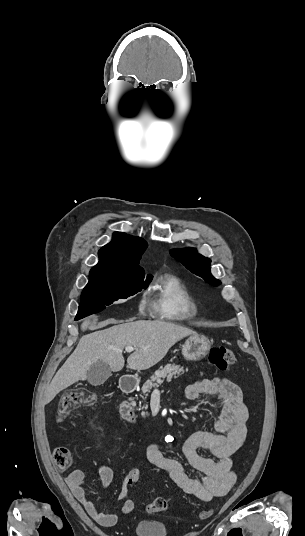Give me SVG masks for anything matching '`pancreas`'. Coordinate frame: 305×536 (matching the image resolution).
<instances>
[{"instance_id":"pancreas-1","label":"pancreas","mask_w":305,"mask_h":536,"mask_svg":"<svg viewBox=\"0 0 305 536\" xmlns=\"http://www.w3.org/2000/svg\"><path fill=\"white\" fill-rule=\"evenodd\" d=\"M184 372H187V370L180 368V366H175V364H167L164 368L161 366L159 370H156L154 376H151V380H147V382L143 384L142 394L148 396V392H150L152 388H157L158 384H163L164 380L171 382L172 378H179ZM139 406H141V404H139ZM145 408H147V406H145ZM142 416H147V412H142Z\"/></svg>"}]
</instances>
